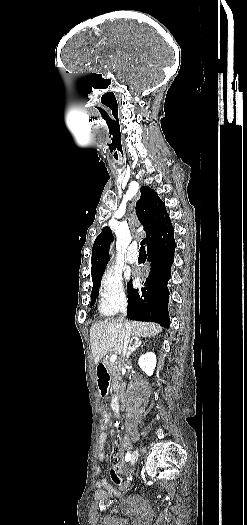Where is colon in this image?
<instances>
[{"mask_svg":"<svg viewBox=\"0 0 247 525\" xmlns=\"http://www.w3.org/2000/svg\"><path fill=\"white\" fill-rule=\"evenodd\" d=\"M99 424L101 427H103V431H108V426L110 424V421L108 418L103 417L100 419Z\"/></svg>","mask_w":247,"mask_h":525,"instance_id":"5ec220e1","label":"colon"}]
</instances>
